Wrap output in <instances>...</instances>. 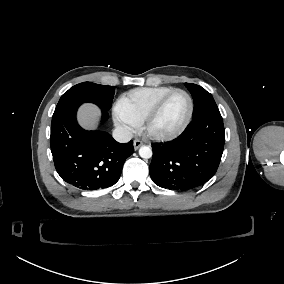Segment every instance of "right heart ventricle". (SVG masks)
I'll use <instances>...</instances> for the list:
<instances>
[{
    "instance_id": "1",
    "label": "right heart ventricle",
    "mask_w": 284,
    "mask_h": 284,
    "mask_svg": "<svg viewBox=\"0 0 284 284\" xmlns=\"http://www.w3.org/2000/svg\"><path fill=\"white\" fill-rule=\"evenodd\" d=\"M173 89L175 88L167 85L130 89L118 97L115 109L120 115L131 119L136 124L140 123L149 108Z\"/></svg>"
}]
</instances>
